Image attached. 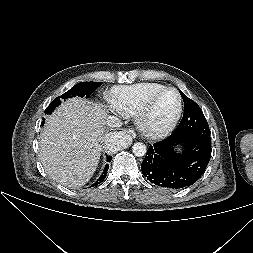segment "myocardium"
I'll list each match as a JSON object with an SVG mask.
<instances>
[{
    "instance_id": "obj_1",
    "label": "myocardium",
    "mask_w": 253,
    "mask_h": 253,
    "mask_svg": "<svg viewBox=\"0 0 253 253\" xmlns=\"http://www.w3.org/2000/svg\"><path fill=\"white\" fill-rule=\"evenodd\" d=\"M167 91H173L177 96L178 106H177L176 113L173 116V118L163 127L158 128V129H151V128L147 127V125L145 123V118H146L148 112L150 111L154 101L161 94H163ZM182 108H183V104H182V96H181L180 92L174 87H164V88L152 93L144 100L141 108L139 109L138 113L135 116V124H136L138 130L144 136H146L148 138L156 139V138L163 137V136L167 135L170 131H172V129L176 126V124L179 121L180 116L182 114Z\"/></svg>"
}]
</instances>
